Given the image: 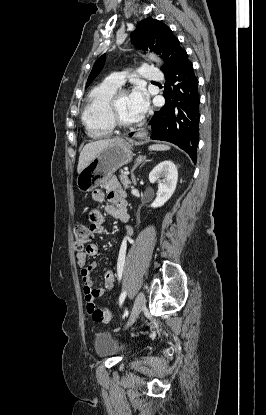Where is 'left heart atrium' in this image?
<instances>
[{"label":"left heart atrium","mask_w":266,"mask_h":415,"mask_svg":"<svg viewBox=\"0 0 266 415\" xmlns=\"http://www.w3.org/2000/svg\"><path fill=\"white\" fill-rule=\"evenodd\" d=\"M130 102L134 111L142 116L148 109L147 98L141 88H136L130 93Z\"/></svg>","instance_id":"39dd6f15"}]
</instances>
